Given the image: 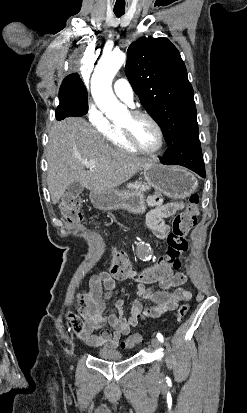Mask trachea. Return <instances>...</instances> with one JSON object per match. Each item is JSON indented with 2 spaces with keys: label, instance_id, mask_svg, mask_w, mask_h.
I'll return each instance as SVG.
<instances>
[{
  "label": "trachea",
  "instance_id": "3493384b",
  "mask_svg": "<svg viewBox=\"0 0 247 413\" xmlns=\"http://www.w3.org/2000/svg\"><path fill=\"white\" fill-rule=\"evenodd\" d=\"M114 13L117 17H121L122 15H124V11H114Z\"/></svg>",
  "mask_w": 247,
  "mask_h": 413
}]
</instances>
